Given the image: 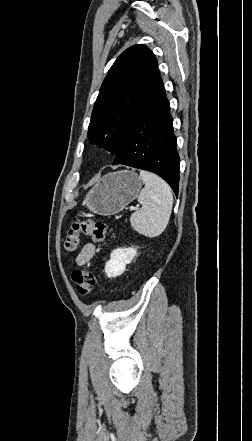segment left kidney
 <instances>
[{
  "mask_svg": "<svg viewBox=\"0 0 252 441\" xmlns=\"http://www.w3.org/2000/svg\"><path fill=\"white\" fill-rule=\"evenodd\" d=\"M137 254V249L117 248L112 251L110 260L105 265V273L108 278H115L124 273L126 265L130 264Z\"/></svg>",
  "mask_w": 252,
  "mask_h": 441,
  "instance_id": "1",
  "label": "left kidney"
}]
</instances>
